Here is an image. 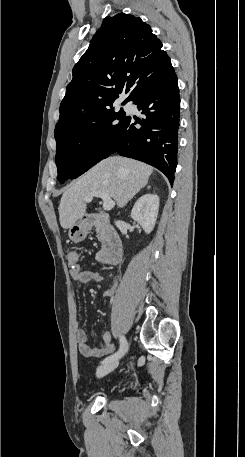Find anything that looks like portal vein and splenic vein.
<instances>
[{
  "mask_svg": "<svg viewBox=\"0 0 245 457\" xmlns=\"http://www.w3.org/2000/svg\"><path fill=\"white\" fill-rule=\"evenodd\" d=\"M93 196H100V198H102L104 210H111V208L115 206V200L110 198L108 192H103V190H95V192H92L91 196H86V202H91Z\"/></svg>",
  "mask_w": 245,
  "mask_h": 457,
  "instance_id": "obj_1",
  "label": "portal vein and splenic vein"
}]
</instances>
